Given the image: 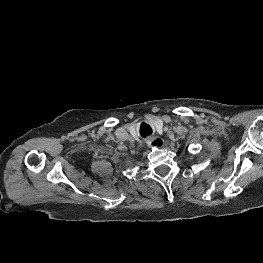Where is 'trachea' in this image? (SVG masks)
<instances>
[{
  "label": "trachea",
  "instance_id": "3493384b",
  "mask_svg": "<svg viewBox=\"0 0 263 263\" xmlns=\"http://www.w3.org/2000/svg\"><path fill=\"white\" fill-rule=\"evenodd\" d=\"M151 134V131L149 132V134H147V135H150ZM147 135H145V136H147Z\"/></svg>",
  "mask_w": 263,
  "mask_h": 263
}]
</instances>
